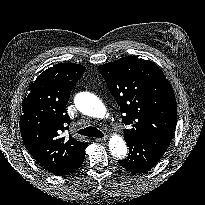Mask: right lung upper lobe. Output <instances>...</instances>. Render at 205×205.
I'll return each instance as SVG.
<instances>
[{
  "label": "right lung upper lobe",
  "instance_id": "right-lung-upper-lobe-1",
  "mask_svg": "<svg viewBox=\"0 0 205 205\" xmlns=\"http://www.w3.org/2000/svg\"><path fill=\"white\" fill-rule=\"evenodd\" d=\"M86 67L60 63L48 68L31 83L23 100L20 131L25 147L45 169L55 173L85 151L71 135L60 137L68 129L65 113L70 92Z\"/></svg>",
  "mask_w": 205,
  "mask_h": 205
}]
</instances>
